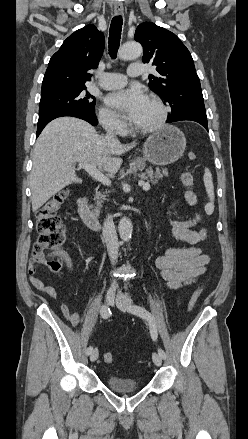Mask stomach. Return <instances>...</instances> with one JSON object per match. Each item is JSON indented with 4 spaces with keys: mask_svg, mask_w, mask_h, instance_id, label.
I'll use <instances>...</instances> for the list:
<instances>
[{
    "mask_svg": "<svg viewBox=\"0 0 248 439\" xmlns=\"http://www.w3.org/2000/svg\"><path fill=\"white\" fill-rule=\"evenodd\" d=\"M186 138L182 131L172 125L150 135L143 146L144 159L154 165H169L182 157Z\"/></svg>",
    "mask_w": 248,
    "mask_h": 439,
    "instance_id": "1",
    "label": "stomach"
}]
</instances>
